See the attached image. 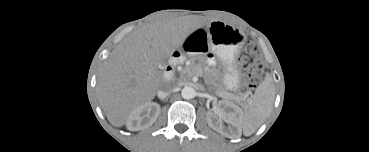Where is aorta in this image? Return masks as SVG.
Returning <instances> with one entry per match:
<instances>
[{"mask_svg":"<svg viewBox=\"0 0 369 152\" xmlns=\"http://www.w3.org/2000/svg\"><path fill=\"white\" fill-rule=\"evenodd\" d=\"M181 95L184 99H192L195 97V90L192 87L185 86L181 91Z\"/></svg>","mask_w":369,"mask_h":152,"instance_id":"aorta-1","label":"aorta"}]
</instances>
